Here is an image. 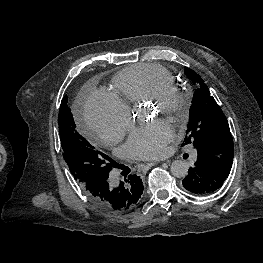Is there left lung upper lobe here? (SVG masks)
Returning a JSON list of instances; mask_svg holds the SVG:
<instances>
[{
	"instance_id": "5c2ea615",
	"label": "left lung upper lobe",
	"mask_w": 263,
	"mask_h": 263,
	"mask_svg": "<svg viewBox=\"0 0 263 263\" xmlns=\"http://www.w3.org/2000/svg\"><path fill=\"white\" fill-rule=\"evenodd\" d=\"M186 76L197 86L190 108L187 134L182 146L193 143L195 148L219 134L230 133L227 119L203 79L190 68Z\"/></svg>"
}]
</instances>
